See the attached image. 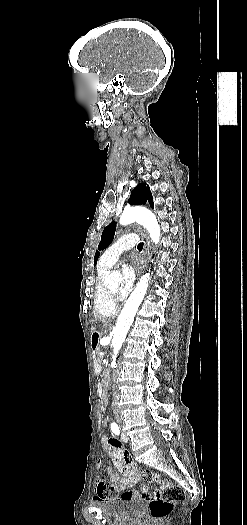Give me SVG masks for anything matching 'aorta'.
<instances>
[{"instance_id":"aorta-1","label":"aorta","mask_w":247,"mask_h":525,"mask_svg":"<svg viewBox=\"0 0 247 525\" xmlns=\"http://www.w3.org/2000/svg\"><path fill=\"white\" fill-rule=\"evenodd\" d=\"M132 222H138L144 226L149 232L151 240L155 244L159 243L160 226L157 222L156 216L151 211L142 207L125 209L120 217L119 223L121 225H127ZM119 279L120 275L117 272H111L106 276V282L108 285L118 282ZM149 280L150 274L146 273L136 285L117 319L116 326L113 329V339L111 343L113 348L112 360L114 362L116 361L119 350L125 341L138 307L142 303L147 292ZM112 365H116V363H112Z\"/></svg>"}]
</instances>
